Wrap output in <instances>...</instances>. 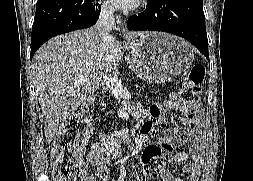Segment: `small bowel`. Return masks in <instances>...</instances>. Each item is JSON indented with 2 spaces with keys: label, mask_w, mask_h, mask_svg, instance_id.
Wrapping results in <instances>:
<instances>
[{
  "label": "small bowel",
  "mask_w": 253,
  "mask_h": 181,
  "mask_svg": "<svg viewBox=\"0 0 253 181\" xmlns=\"http://www.w3.org/2000/svg\"><path fill=\"white\" fill-rule=\"evenodd\" d=\"M177 94H171L168 99L160 103H155L150 107L149 115L151 122H145L140 127V134L145 145L141 155V171L144 176H149L150 163L152 160L164 157L172 163H184L182 171L185 174L184 179L173 176L164 166L158 167V174L161 181H198L200 170L203 163L204 142L199 131L189 128L182 136H164L152 142L155 126H164L166 123L165 112L179 106ZM194 134H197L194 137ZM179 142H191L190 152H175ZM110 139L105 134H100L98 139L93 141L87 154L88 161L96 167V174L102 180H106L109 175L108 164L111 157V150L108 148ZM189 159L191 163H186Z\"/></svg>",
  "instance_id": "obj_1"
}]
</instances>
